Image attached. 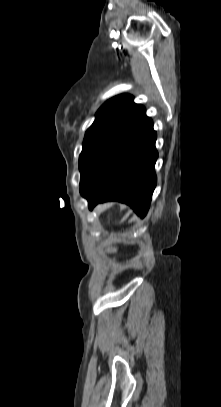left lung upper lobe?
Returning a JSON list of instances; mask_svg holds the SVG:
<instances>
[{
    "label": "left lung upper lobe",
    "instance_id": "1",
    "mask_svg": "<svg viewBox=\"0 0 221 407\" xmlns=\"http://www.w3.org/2000/svg\"><path fill=\"white\" fill-rule=\"evenodd\" d=\"M142 108L133 96L122 94L105 102L90 128L86 131L79 157L80 187L109 146L130 124Z\"/></svg>",
    "mask_w": 221,
    "mask_h": 407
}]
</instances>
